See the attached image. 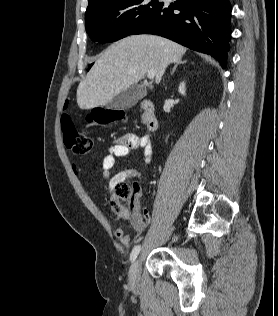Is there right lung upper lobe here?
<instances>
[{"mask_svg": "<svg viewBox=\"0 0 278 316\" xmlns=\"http://www.w3.org/2000/svg\"><path fill=\"white\" fill-rule=\"evenodd\" d=\"M107 1H110V0H89V5L87 7V11L90 10L91 8L98 6L100 4H103Z\"/></svg>", "mask_w": 278, "mask_h": 316, "instance_id": "1", "label": "right lung upper lobe"}]
</instances>
